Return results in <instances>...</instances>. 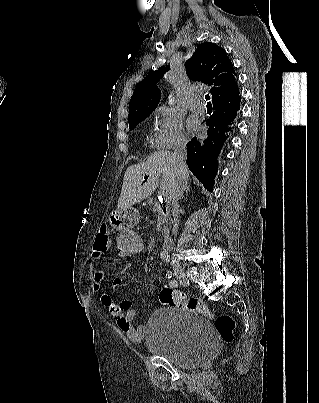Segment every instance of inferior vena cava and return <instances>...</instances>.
<instances>
[{
	"mask_svg": "<svg viewBox=\"0 0 319 403\" xmlns=\"http://www.w3.org/2000/svg\"><path fill=\"white\" fill-rule=\"evenodd\" d=\"M187 157V150H186V140L185 139H179L176 143L175 149H174V159L175 162L178 165H182L184 163V160ZM182 185V181L177 178L174 183L172 184V187L169 192V198L171 199L172 202V213H173V220H174V226H173V232L176 234L177 229H178V224H179V194H180V186Z\"/></svg>",
	"mask_w": 319,
	"mask_h": 403,
	"instance_id": "602c4592",
	"label": "inferior vena cava"
}]
</instances>
